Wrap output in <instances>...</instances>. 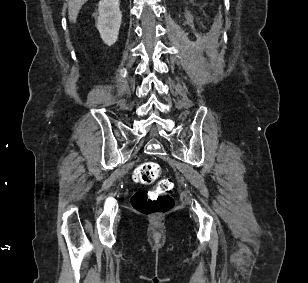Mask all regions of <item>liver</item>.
Wrapping results in <instances>:
<instances>
[{
	"label": "liver",
	"mask_w": 308,
	"mask_h": 283,
	"mask_svg": "<svg viewBox=\"0 0 308 283\" xmlns=\"http://www.w3.org/2000/svg\"><path fill=\"white\" fill-rule=\"evenodd\" d=\"M88 0H68V15L69 20L71 22H76L77 15L81 9V7L86 3Z\"/></svg>",
	"instance_id": "liver-1"
}]
</instances>
